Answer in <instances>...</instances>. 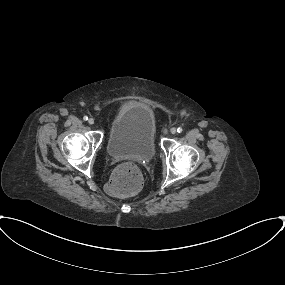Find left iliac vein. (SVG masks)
Masks as SVG:
<instances>
[{
    "mask_svg": "<svg viewBox=\"0 0 285 285\" xmlns=\"http://www.w3.org/2000/svg\"><path fill=\"white\" fill-rule=\"evenodd\" d=\"M170 132H171L172 134H175V133L177 132V130H176V128L173 127V128L170 129Z\"/></svg>",
    "mask_w": 285,
    "mask_h": 285,
    "instance_id": "obj_1",
    "label": "left iliac vein"
}]
</instances>
